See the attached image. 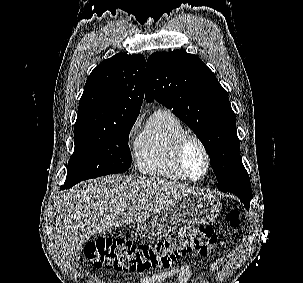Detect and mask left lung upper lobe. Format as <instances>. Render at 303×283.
I'll list each match as a JSON object with an SVG mask.
<instances>
[{
	"instance_id": "obj_1",
	"label": "left lung upper lobe",
	"mask_w": 303,
	"mask_h": 283,
	"mask_svg": "<svg viewBox=\"0 0 303 283\" xmlns=\"http://www.w3.org/2000/svg\"><path fill=\"white\" fill-rule=\"evenodd\" d=\"M145 97L171 109L194 131L210 156L219 190L251 194L228 93L200 58L184 50L153 53L147 60Z\"/></svg>"
}]
</instances>
